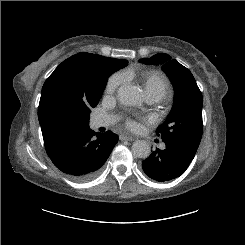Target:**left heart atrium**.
<instances>
[{
	"mask_svg": "<svg viewBox=\"0 0 245 245\" xmlns=\"http://www.w3.org/2000/svg\"><path fill=\"white\" fill-rule=\"evenodd\" d=\"M126 126H127L129 129H131V130H136V129H138V127H139V125H138L137 122H135V121H133V120H130V119H128V120L126 121Z\"/></svg>",
	"mask_w": 245,
	"mask_h": 245,
	"instance_id": "39dd6f15",
	"label": "left heart atrium"
}]
</instances>
